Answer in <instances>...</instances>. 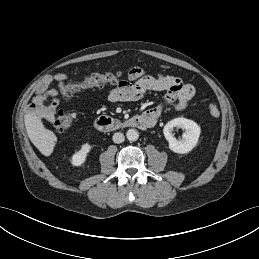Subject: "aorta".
I'll list each match as a JSON object with an SVG mask.
<instances>
[{"instance_id":"762f6f07","label":"aorta","mask_w":259,"mask_h":259,"mask_svg":"<svg viewBox=\"0 0 259 259\" xmlns=\"http://www.w3.org/2000/svg\"><path fill=\"white\" fill-rule=\"evenodd\" d=\"M126 137L129 141H136L139 138V133L135 129H129L126 133Z\"/></svg>"}]
</instances>
